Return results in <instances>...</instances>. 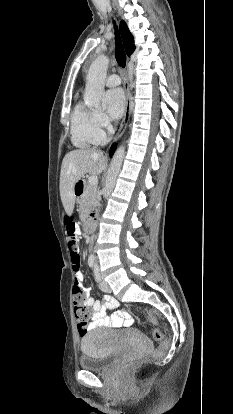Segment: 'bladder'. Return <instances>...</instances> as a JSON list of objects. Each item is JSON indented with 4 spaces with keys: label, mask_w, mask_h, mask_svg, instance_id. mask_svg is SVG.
Returning <instances> with one entry per match:
<instances>
[{
    "label": "bladder",
    "mask_w": 233,
    "mask_h": 414,
    "mask_svg": "<svg viewBox=\"0 0 233 414\" xmlns=\"http://www.w3.org/2000/svg\"><path fill=\"white\" fill-rule=\"evenodd\" d=\"M118 332L95 328L85 333L81 340L82 356L79 359V366L83 370L103 371L110 367L113 360L119 353L116 344ZM141 344L150 347L147 338L135 333Z\"/></svg>",
    "instance_id": "obj_1"
}]
</instances>
